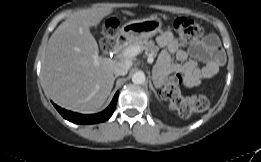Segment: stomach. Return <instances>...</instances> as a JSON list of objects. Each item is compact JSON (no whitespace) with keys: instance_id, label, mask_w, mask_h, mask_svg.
Masks as SVG:
<instances>
[{"instance_id":"stomach-1","label":"stomach","mask_w":261,"mask_h":162,"mask_svg":"<svg viewBox=\"0 0 261 162\" xmlns=\"http://www.w3.org/2000/svg\"><path fill=\"white\" fill-rule=\"evenodd\" d=\"M161 27V19L157 16H152L146 19L132 20L124 24L120 32L122 36L132 41L153 37L160 31Z\"/></svg>"}]
</instances>
